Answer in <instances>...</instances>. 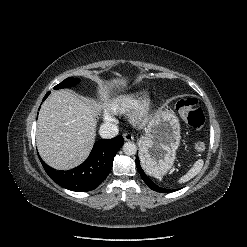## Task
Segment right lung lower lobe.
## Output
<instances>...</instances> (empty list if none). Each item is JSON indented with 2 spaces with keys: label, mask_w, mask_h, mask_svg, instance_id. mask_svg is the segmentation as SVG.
I'll list each match as a JSON object with an SVG mask.
<instances>
[{
  "label": "right lung lower lobe",
  "mask_w": 247,
  "mask_h": 247,
  "mask_svg": "<svg viewBox=\"0 0 247 247\" xmlns=\"http://www.w3.org/2000/svg\"><path fill=\"white\" fill-rule=\"evenodd\" d=\"M48 95L49 92L44 100ZM123 143L121 135L111 140L97 141L88 158L81 165L68 171H56L44 162L42 165L49 177L60 186L78 192L91 191L106 179L112 169L114 156Z\"/></svg>",
  "instance_id": "1"
}]
</instances>
